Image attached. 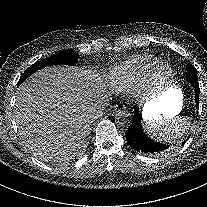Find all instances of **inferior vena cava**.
Listing matches in <instances>:
<instances>
[{
  "label": "inferior vena cava",
  "instance_id": "602c4592",
  "mask_svg": "<svg viewBox=\"0 0 207 207\" xmlns=\"http://www.w3.org/2000/svg\"><path fill=\"white\" fill-rule=\"evenodd\" d=\"M96 117H98V111H95V114H94L93 118H96Z\"/></svg>",
  "mask_w": 207,
  "mask_h": 207
}]
</instances>
